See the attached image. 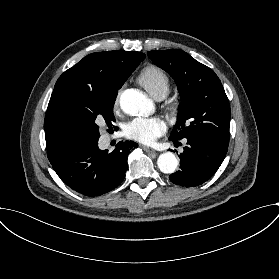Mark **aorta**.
Returning a JSON list of instances; mask_svg holds the SVG:
<instances>
[{
	"label": "aorta",
	"mask_w": 279,
	"mask_h": 279,
	"mask_svg": "<svg viewBox=\"0 0 279 279\" xmlns=\"http://www.w3.org/2000/svg\"><path fill=\"white\" fill-rule=\"evenodd\" d=\"M120 106L122 110L130 115H149L153 111V104L148 97L140 90L127 89L120 97ZM161 172L172 174L178 166V160L174 153H162L157 160Z\"/></svg>",
	"instance_id": "1"
}]
</instances>
